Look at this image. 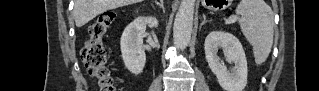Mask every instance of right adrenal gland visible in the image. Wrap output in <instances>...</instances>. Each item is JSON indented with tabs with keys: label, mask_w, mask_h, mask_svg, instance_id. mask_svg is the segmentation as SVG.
I'll use <instances>...</instances> for the list:
<instances>
[{
	"label": "right adrenal gland",
	"mask_w": 319,
	"mask_h": 91,
	"mask_svg": "<svg viewBox=\"0 0 319 91\" xmlns=\"http://www.w3.org/2000/svg\"><path fill=\"white\" fill-rule=\"evenodd\" d=\"M155 3L157 6H159L160 8H162L163 12H165L164 9V0H160L159 2L157 0H155Z\"/></svg>",
	"instance_id": "right-adrenal-gland-1"
}]
</instances>
